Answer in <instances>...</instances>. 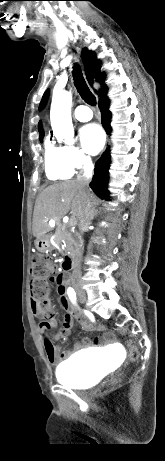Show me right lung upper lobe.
Returning <instances> with one entry per match:
<instances>
[{
  "instance_id": "obj_1",
  "label": "right lung upper lobe",
  "mask_w": 165,
  "mask_h": 461,
  "mask_svg": "<svg viewBox=\"0 0 165 461\" xmlns=\"http://www.w3.org/2000/svg\"><path fill=\"white\" fill-rule=\"evenodd\" d=\"M83 54L87 58V61L89 63L93 76L96 78V81H99L101 83V87L102 89H104V91L100 90L99 92H100L101 99L105 100L107 87L104 84V80H103L105 79V74L104 73L101 74V72L99 71L101 62L98 59H96L95 54L92 51H88L86 48L83 49ZM48 93H49L48 91L44 93L42 100L40 102V105H39V110H41L45 106ZM38 130H39L40 136L44 135L41 121L38 123Z\"/></svg>"
}]
</instances>
